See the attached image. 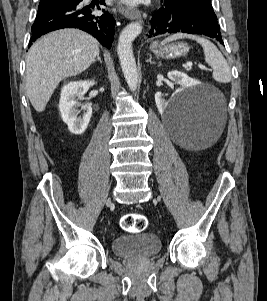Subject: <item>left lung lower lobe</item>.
Returning <instances> with one entry per match:
<instances>
[{
    "label": "left lung lower lobe",
    "instance_id": "obj_1",
    "mask_svg": "<svg viewBox=\"0 0 267 301\" xmlns=\"http://www.w3.org/2000/svg\"><path fill=\"white\" fill-rule=\"evenodd\" d=\"M148 38L165 33H189L206 35L223 44L220 27L201 14L186 7L162 5L151 18Z\"/></svg>",
    "mask_w": 267,
    "mask_h": 301
}]
</instances>
